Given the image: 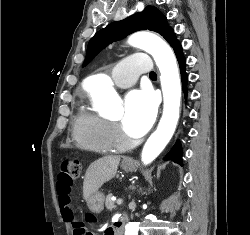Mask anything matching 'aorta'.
<instances>
[{
  "instance_id": "1",
  "label": "aorta",
  "mask_w": 250,
  "mask_h": 235,
  "mask_svg": "<svg viewBox=\"0 0 250 235\" xmlns=\"http://www.w3.org/2000/svg\"><path fill=\"white\" fill-rule=\"evenodd\" d=\"M128 43L151 54L161 73L163 114L156 131L149 137L142 150L141 159L147 165L163 151L175 132L180 112V76L173 51L160 37L147 32H137L130 36ZM86 88L93 100L103 98L110 103L111 114L121 113L120 99L112 88L111 79L106 74L91 77ZM138 231V222H129L125 227V235H138Z\"/></svg>"
}]
</instances>
